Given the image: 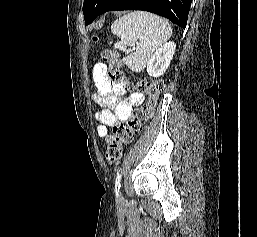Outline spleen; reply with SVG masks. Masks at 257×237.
Segmentation results:
<instances>
[{"instance_id": "obj_1", "label": "spleen", "mask_w": 257, "mask_h": 237, "mask_svg": "<svg viewBox=\"0 0 257 237\" xmlns=\"http://www.w3.org/2000/svg\"><path fill=\"white\" fill-rule=\"evenodd\" d=\"M111 31L121 39L114 44L115 49L126 51L127 46L133 47L134 52L124 57L123 61L135 72L144 70L154 53L172 35L168 21L143 11H135L117 19Z\"/></svg>"}]
</instances>
